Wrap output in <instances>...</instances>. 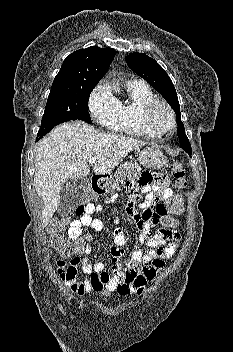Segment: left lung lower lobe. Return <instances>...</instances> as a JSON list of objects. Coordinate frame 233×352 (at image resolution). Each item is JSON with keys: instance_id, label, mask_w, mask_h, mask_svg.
Wrapping results in <instances>:
<instances>
[{"instance_id": "obj_1", "label": "left lung lower lobe", "mask_w": 233, "mask_h": 352, "mask_svg": "<svg viewBox=\"0 0 233 352\" xmlns=\"http://www.w3.org/2000/svg\"><path fill=\"white\" fill-rule=\"evenodd\" d=\"M190 156L192 155V153H188Z\"/></svg>"}]
</instances>
